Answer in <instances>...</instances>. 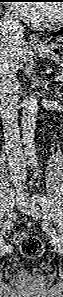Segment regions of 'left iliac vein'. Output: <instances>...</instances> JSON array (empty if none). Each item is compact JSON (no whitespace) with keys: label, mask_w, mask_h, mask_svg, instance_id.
Instances as JSON below:
<instances>
[{"label":"left iliac vein","mask_w":63,"mask_h":297,"mask_svg":"<svg viewBox=\"0 0 63 297\" xmlns=\"http://www.w3.org/2000/svg\"><path fill=\"white\" fill-rule=\"evenodd\" d=\"M17 206L18 208L25 212L28 215H31L33 217L39 218L40 217V210L39 207L31 200L27 199L25 196L20 195L17 198ZM49 235L52 238V244L53 247L57 252L62 251V240L61 238L57 235L56 231L50 226L48 229Z\"/></svg>","instance_id":"left-iliac-vein-1"}]
</instances>
